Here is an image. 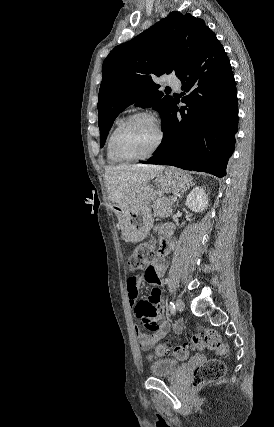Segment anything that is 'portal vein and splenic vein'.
Here are the masks:
<instances>
[{"label": "portal vein and splenic vein", "instance_id": "portal-vein-and-splenic-vein-1", "mask_svg": "<svg viewBox=\"0 0 274 427\" xmlns=\"http://www.w3.org/2000/svg\"><path fill=\"white\" fill-rule=\"evenodd\" d=\"M173 202H176L177 198H172Z\"/></svg>", "mask_w": 274, "mask_h": 427}]
</instances>
